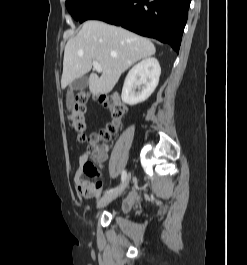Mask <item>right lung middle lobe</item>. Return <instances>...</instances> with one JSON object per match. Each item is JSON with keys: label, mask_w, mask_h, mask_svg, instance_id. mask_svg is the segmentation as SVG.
<instances>
[{"label": "right lung middle lobe", "mask_w": 247, "mask_h": 265, "mask_svg": "<svg viewBox=\"0 0 247 265\" xmlns=\"http://www.w3.org/2000/svg\"><path fill=\"white\" fill-rule=\"evenodd\" d=\"M99 0H66V7L72 17L79 21Z\"/></svg>", "instance_id": "1"}]
</instances>
